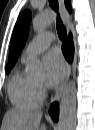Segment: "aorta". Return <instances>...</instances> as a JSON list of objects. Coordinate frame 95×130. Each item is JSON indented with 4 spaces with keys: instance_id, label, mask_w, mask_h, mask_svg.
Instances as JSON below:
<instances>
[{
    "instance_id": "762f6f07",
    "label": "aorta",
    "mask_w": 95,
    "mask_h": 130,
    "mask_svg": "<svg viewBox=\"0 0 95 130\" xmlns=\"http://www.w3.org/2000/svg\"><path fill=\"white\" fill-rule=\"evenodd\" d=\"M55 13L46 10L42 14L35 16L32 20V28L35 32H41L48 27L54 20ZM42 67L38 58H32L29 63V72L39 75ZM76 84L69 81L61 94L59 108V130H75L76 128Z\"/></svg>"
}]
</instances>
